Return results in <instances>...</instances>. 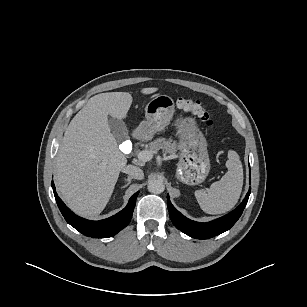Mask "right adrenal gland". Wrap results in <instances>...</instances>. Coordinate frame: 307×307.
Segmentation results:
<instances>
[{
	"label": "right adrenal gland",
	"mask_w": 307,
	"mask_h": 307,
	"mask_svg": "<svg viewBox=\"0 0 307 307\" xmlns=\"http://www.w3.org/2000/svg\"><path fill=\"white\" fill-rule=\"evenodd\" d=\"M132 179H133V177L128 176L127 179H125L127 183H126L124 186H122V188L127 187V186L131 183V180H132Z\"/></svg>",
	"instance_id": "obj_1"
}]
</instances>
